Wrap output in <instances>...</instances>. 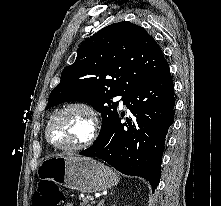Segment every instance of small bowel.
I'll use <instances>...</instances> for the list:
<instances>
[{"mask_svg": "<svg viewBox=\"0 0 221 206\" xmlns=\"http://www.w3.org/2000/svg\"><path fill=\"white\" fill-rule=\"evenodd\" d=\"M66 206H73V205H72V204H70V203H67V204H66Z\"/></svg>", "mask_w": 221, "mask_h": 206, "instance_id": "small-bowel-1", "label": "small bowel"}]
</instances>
